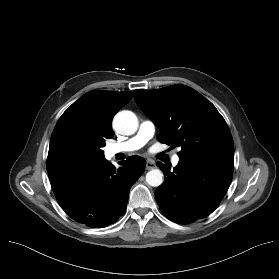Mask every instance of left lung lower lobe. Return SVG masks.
I'll list each match as a JSON object with an SVG mask.
<instances>
[{"label":"left lung lower lobe","mask_w":279,"mask_h":279,"mask_svg":"<svg viewBox=\"0 0 279 279\" xmlns=\"http://www.w3.org/2000/svg\"><path fill=\"white\" fill-rule=\"evenodd\" d=\"M165 180L155 191L160 210L177 223H191L211 214L227 192L234 159L212 156H179L178 165L161 162Z\"/></svg>","instance_id":"obj_1"}]
</instances>
